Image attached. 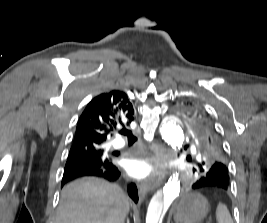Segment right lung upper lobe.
<instances>
[{
    "label": "right lung upper lobe",
    "mask_w": 267,
    "mask_h": 223,
    "mask_svg": "<svg viewBox=\"0 0 267 223\" xmlns=\"http://www.w3.org/2000/svg\"><path fill=\"white\" fill-rule=\"evenodd\" d=\"M134 109L126 93L119 90L93 98L79 118L71 149L84 145L103 147L120 126L130 125Z\"/></svg>",
    "instance_id": "1"
}]
</instances>
